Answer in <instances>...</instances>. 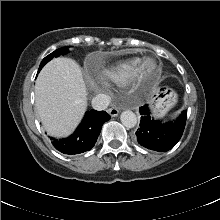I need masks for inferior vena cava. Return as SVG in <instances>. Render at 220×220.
I'll return each mask as SVG.
<instances>
[{
  "instance_id": "602c4592",
  "label": "inferior vena cava",
  "mask_w": 220,
  "mask_h": 220,
  "mask_svg": "<svg viewBox=\"0 0 220 220\" xmlns=\"http://www.w3.org/2000/svg\"><path fill=\"white\" fill-rule=\"evenodd\" d=\"M111 98L106 94H98L92 99V107L96 110H104L110 104Z\"/></svg>"
}]
</instances>
